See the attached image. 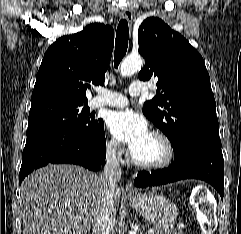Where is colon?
<instances>
[{"label": "colon", "mask_w": 241, "mask_h": 234, "mask_svg": "<svg viewBox=\"0 0 241 234\" xmlns=\"http://www.w3.org/2000/svg\"><path fill=\"white\" fill-rule=\"evenodd\" d=\"M191 204L197 210L200 225L205 226L214 211V204L209 198V192L205 188L198 189L192 196Z\"/></svg>", "instance_id": "obj_1"}]
</instances>
